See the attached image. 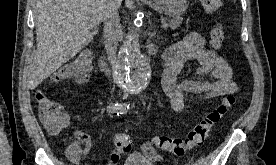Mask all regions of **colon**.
Segmentation results:
<instances>
[{"instance_id":"1","label":"colon","mask_w":276,"mask_h":165,"mask_svg":"<svg viewBox=\"0 0 276 165\" xmlns=\"http://www.w3.org/2000/svg\"><path fill=\"white\" fill-rule=\"evenodd\" d=\"M207 13H216L223 8L222 0H201ZM224 32L221 27H215L211 32V45L214 48L221 46ZM91 57L89 53H82L68 62L59 72L58 81L75 80L84 81L90 72ZM35 99L38 106L40 120L46 128L53 133L60 132L67 124V115L60 104L53 101L44 90L37 91ZM235 97L229 94L220 104L207 113L184 138L156 136L152 139L150 147L145 149L148 158L154 159L155 149L169 151L177 156L183 155L187 150L198 147L204 143L211 129L220 122L234 104ZM114 146L120 154L131 150L132 140L129 135L119 133L114 137Z\"/></svg>"}]
</instances>
